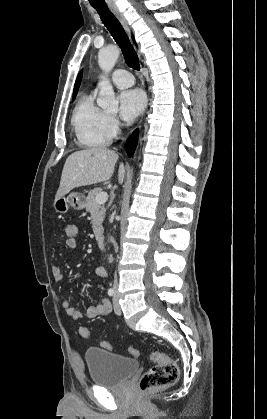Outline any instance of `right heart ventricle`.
Masks as SVG:
<instances>
[{"label": "right heart ventricle", "instance_id": "1", "mask_svg": "<svg viewBox=\"0 0 267 419\" xmlns=\"http://www.w3.org/2000/svg\"><path fill=\"white\" fill-rule=\"evenodd\" d=\"M107 119V113L95 103L94 94H83L78 99L71 117L78 142L88 148L106 146L112 137Z\"/></svg>", "mask_w": 267, "mask_h": 419}]
</instances>
